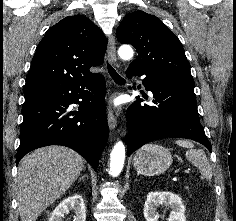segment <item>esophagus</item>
Returning a JSON list of instances; mask_svg holds the SVG:
<instances>
[{"label": "esophagus", "instance_id": "1", "mask_svg": "<svg viewBox=\"0 0 236 221\" xmlns=\"http://www.w3.org/2000/svg\"><path fill=\"white\" fill-rule=\"evenodd\" d=\"M108 58L111 63L116 62V46L115 38L113 35L108 37V47H107ZM117 125V118L111 112L108 114V126L110 130H114Z\"/></svg>", "mask_w": 236, "mask_h": 221}]
</instances>
